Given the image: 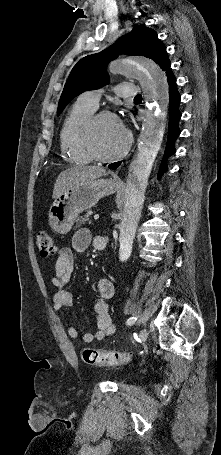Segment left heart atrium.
Here are the masks:
<instances>
[{
    "mask_svg": "<svg viewBox=\"0 0 221 455\" xmlns=\"http://www.w3.org/2000/svg\"><path fill=\"white\" fill-rule=\"evenodd\" d=\"M121 127L126 131V125L124 122L120 121Z\"/></svg>",
    "mask_w": 221,
    "mask_h": 455,
    "instance_id": "1",
    "label": "left heart atrium"
}]
</instances>
